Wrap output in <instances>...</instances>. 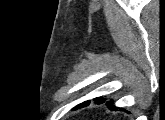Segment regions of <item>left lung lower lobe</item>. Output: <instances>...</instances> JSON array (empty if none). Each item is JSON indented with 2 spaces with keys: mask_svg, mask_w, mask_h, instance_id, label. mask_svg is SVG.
Instances as JSON below:
<instances>
[{
  "mask_svg": "<svg viewBox=\"0 0 165 120\" xmlns=\"http://www.w3.org/2000/svg\"><path fill=\"white\" fill-rule=\"evenodd\" d=\"M95 101H97V100H95ZM99 103H102L103 101H98ZM89 103H86V104H84V105H88ZM108 104V106L110 107V108H112V109H117L114 105H111L110 103H107ZM84 105H82V106H84ZM78 107H81V106H78Z\"/></svg>",
  "mask_w": 165,
  "mask_h": 120,
  "instance_id": "1",
  "label": "left lung lower lobe"
}]
</instances>
